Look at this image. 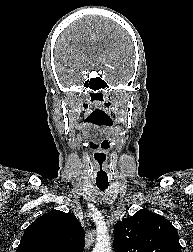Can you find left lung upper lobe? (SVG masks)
Masks as SVG:
<instances>
[{"label": "left lung upper lobe", "instance_id": "left-lung-upper-lobe-1", "mask_svg": "<svg viewBox=\"0 0 193 252\" xmlns=\"http://www.w3.org/2000/svg\"><path fill=\"white\" fill-rule=\"evenodd\" d=\"M115 252H181L176 228L148 210L115 224Z\"/></svg>", "mask_w": 193, "mask_h": 252}]
</instances>
